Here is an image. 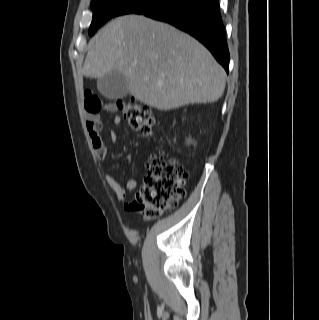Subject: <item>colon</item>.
I'll list each match as a JSON object with an SVG mask.
<instances>
[{
  "instance_id": "obj_1",
  "label": "colon",
  "mask_w": 319,
  "mask_h": 320,
  "mask_svg": "<svg viewBox=\"0 0 319 320\" xmlns=\"http://www.w3.org/2000/svg\"><path fill=\"white\" fill-rule=\"evenodd\" d=\"M125 121L141 137L152 135L153 112L144 103L129 101L118 104ZM144 185L128 205L132 211L151 220L173 208L185 196V168L174 158L153 156L146 164Z\"/></svg>"
}]
</instances>
